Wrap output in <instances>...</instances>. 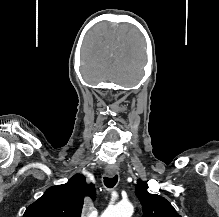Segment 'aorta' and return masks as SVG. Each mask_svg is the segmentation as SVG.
I'll list each match as a JSON object with an SVG mask.
<instances>
[{"label":"aorta","mask_w":219,"mask_h":217,"mask_svg":"<svg viewBox=\"0 0 219 217\" xmlns=\"http://www.w3.org/2000/svg\"><path fill=\"white\" fill-rule=\"evenodd\" d=\"M133 212V205L129 202H124L107 208L101 217H131Z\"/></svg>","instance_id":"aorta-1"}]
</instances>
